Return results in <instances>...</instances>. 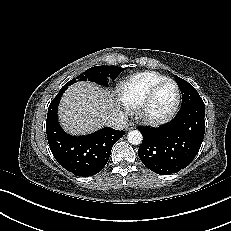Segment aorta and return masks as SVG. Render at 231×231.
<instances>
[{"label": "aorta", "mask_w": 231, "mask_h": 231, "mask_svg": "<svg viewBox=\"0 0 231 231\" xmlns=\"http://www.w3.org/2000/svg\"><path fill=\"white\" fill-rule=\"evenodd\" d=\"M128 142L132 145H139L142 143L143 136L140 131L132 130L127 135Z\"/></svg>", "instance_id": "aorta-1"}]
</instances>
